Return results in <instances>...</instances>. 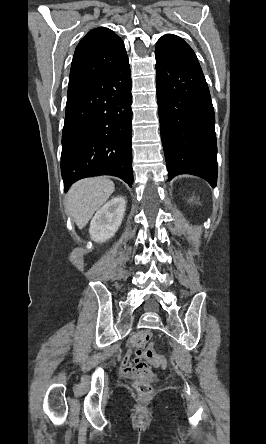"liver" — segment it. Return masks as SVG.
Instances as JSON below:
<instances>
[{"label":"liver","instance_id":"6515ba94","mask_svg":"<svg viewBox=\"0 0 266 444\" xmlns=\"http://www.w3.org/2000/svg\"><path fill=\"white\" fill-rule=\"evenodd\" d=\"M114 189V183L105 177L83 179L71 186L67 193V210L79 229L86 226Z\"/></svg>","mask_w":266,"mask_h":444}]
</instances>
